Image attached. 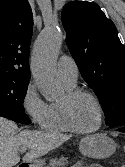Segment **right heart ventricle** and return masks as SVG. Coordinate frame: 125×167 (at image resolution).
I'll return each mask as SVG.
<instances>
[{"label":"right heart ventricle","mask_w":125,"mask_h":167,"mask_svg":"<svg viewBox=\"0 0 125 167\" xmlns=\"http://www.w3.org/2000/svg\"><path fill=\"white\" fill-rule=\"evenodd\" d=\"M62 82L66 92L77 88L76 83H69L63 80ZM44 129L58 133L72 132V130L64 120L60 102H53L49 104V114Z\"/></svg>","instance_id":"obj_1"}]
</instances>
